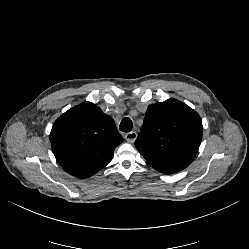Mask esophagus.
I'll use <instances>...</instances> for the list:
<instances>
[{
  "mask_svg": "<svg viewBox=\"0 0 249 249\" xmlns=\"http://www.w3.org/2000/svg\"><path fill=\"white\" fill-rule=\"evenodd\" d=\"M138 134L135 131H131L125 134L124 138L129 143H134Z\"/></svg>",
  "mask_w": 249,
  "mask_h": 249,
  "instance_id": "34e87169",
  "label": "esophagus"
}]
</instances>
